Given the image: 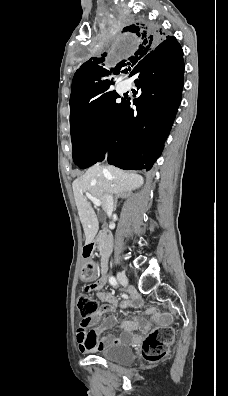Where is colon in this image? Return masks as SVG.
Here are the masks:
<instances>
[{
    "label": "colon",
    "instance_id": "colon-1",
    "mask_svg": "<svg viewBox=\"0 0 228 396\" xmlns=\"http://www.w3.org/2000/svg\"><path fill=\"white\" fill-rule=\"evenodd\" d=\"M77 307L81 316L80 327L90 325L93 316L99 310V304L91 297L80 294L77 299ZM174 340L173 330L169 327H160L153 330L142 343V355L149 363H157L163 360L169 353Z\"/></svg>",
    "mask_w": 228,
    "mask_h": 396
}]
</instances>
